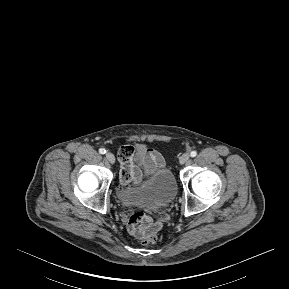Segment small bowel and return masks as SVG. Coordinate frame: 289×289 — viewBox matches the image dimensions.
<instances>
[{
    "label": "small bowel",
    "mask_w": 289,
    "mask_h": 289,
    "mask_svg": "<svg viewBox=\"0 0 289 289\" xmlns=\"http://www.w3.org/2000/svg\"><path fill=\"white\" fill-rule=\"evenodd\" d=\"M120 184L127 186L131 183L138 184L143 178L141 164L145 167V174L150 175L152 168L164 167L165 160L156 150L144 145L134 147L125 145L119 151ZM162 226L161 220L154 222L150 217L135 213L127 219V230L129 234L137 239H143L151 232H157Z\"/></svg>",
    "instance_id": "small-bowel-1"
}]
</instances>
